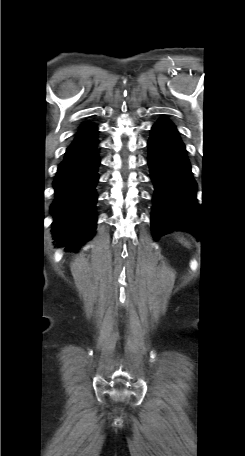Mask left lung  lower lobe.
I'll list each match as a JSON object with an SVG mask.
<instances>
[{"label": "left lung lower lobe", "mask_w": 245, "mask_h": 456, "mask_svg": "<svg viewBox=\"0 0 245 456\" xmlns=\"http://www.w3.org/2000/svg\"><path fill=\"white\" fill-rule=\"evenodd\" d=\"M148 164L155 186L151 218L154 239L173 230H186L196 235L197 185L185 145L175 125L167 119H161L151 129Z\"/></svg>", "instance_id": "obj_1"}]
</instances>
